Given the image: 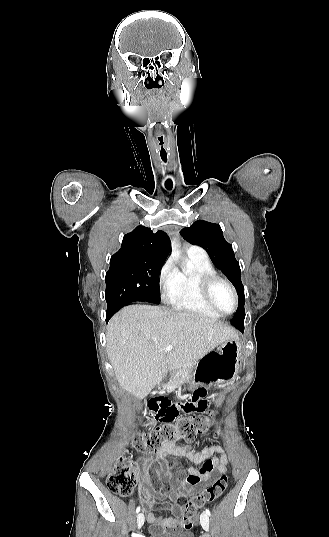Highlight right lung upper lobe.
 Returning <instances> with one entry per match:
<instances>
[{
    "mask_svg": "<svg viewBox=\"0 0 329 537\" xmlns=\"http://www.w3.org/2000/svg\"><path fill=\"white\" fill-rule=\"evenodd\" d=\"M169 238L163 231L137 226L123 238L120 250L110 259V269L164 263L169 255Z\"/></svg>",
    "mask_w": 329,
    "mask_h": 537,
    "instance_id": "right-lung-upper-lobe-1",
    "label": "right lung upper lobe"
}]
</instances>
